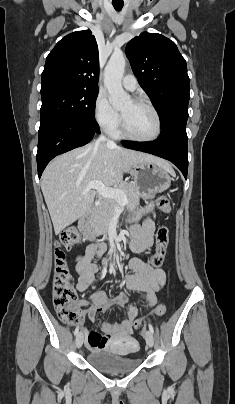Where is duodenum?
<instances>
[{"label":"duodenum","instance_id":"1","mask_svg":"<svg viewBox=\"0 0 235 404\" xmlns=\"http://www.w3.org/2000/svg\"><path fill=\"white\" fill-rule=\"evenodd\" d=\"M91 222H92V214L88 213L84 215L80 220H79V228L81 232L87 236H91Z\"/></svg>","mask_w":235,"mask_h":404}]
</instances>
